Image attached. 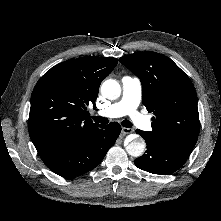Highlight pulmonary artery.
<instances>
[{
	"instance_id": "obj_1",
	"label": "pulmonary artery",
	"mask_w": 221,
	"mask_h": 221,
	"mask_svg": "<svg viewBox=\"0 0 221 221\" xmlns=\"http://www.w3.org/2000/svg\"><path fill=\"white\" fill-rule=\"evenodd\" d=\"M141 96V81L137 77L124 76L122 78L121 99L99 111L98 114L108 118H117L128 115L138 128L148 130L151 127L150 120L137 110L141 101Z\"/></svg>"
}]
</instances>
